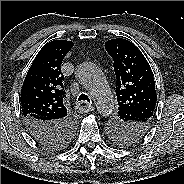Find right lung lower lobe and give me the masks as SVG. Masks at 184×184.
Segmentation results:
<instances>
[{
    "mask_svg": "<svg viewBox=\"0 0 184 184\" xmlns=\"http://www.w3.org/2000/svg\"><path fill=\"white\" fill-rule=\"evenodd\" d=\"M24 121L31 136L45 146L61 143L75 126L74 121L70 118L58 122H49L27 116L24 117Z\"/></svg>",
    "mask_w": 184,
    "mask_h": 184,
    "instance_id": "1",
    "label": "right lung lower lobe"
}]
</instances>
